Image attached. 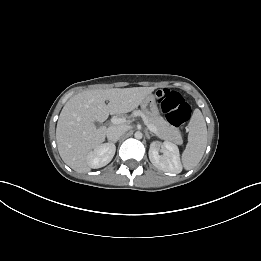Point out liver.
Listing matches in <instances>:
<instances>
[{
	"label": "liver",
	"mask_w": 261,
	"mask_h": 261,
	"mask_svg": "<svg viewBox=\"0 0 261 261\" xmlns=\"http://www.w3.org/2000/svg\"><path fill=\"white\" fill-rule=\"evenodd\" d=\"M154 90L155 87L97 89L73 96L57 122L56 142L62 160L79 173L90 171L88 155L105 141L107 131L106 127L97 128L94 122L134 110Z\"/></svg>",
	"instance_id": "obj_1"
}]
</instances>
